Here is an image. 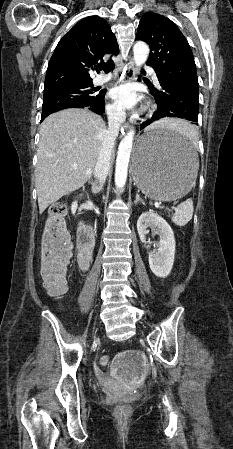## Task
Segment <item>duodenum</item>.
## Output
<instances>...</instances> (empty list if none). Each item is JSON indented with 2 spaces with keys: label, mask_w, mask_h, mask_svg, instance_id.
<instances>
[{
  "label": "duodenum",
  "mask_w": 233,
  "mask_h": 449,
  "mask_svg": "<svg viewBox=\"0 0 233 449\" xmlns=\"http://www.w3.org/2000/svg\"><path fill=\"white\" fill-rule=\"evenodd\" d=\"M95 239L93 232L87 225H82L78 230V262L83 271H87L93 255Z\"/></svg>",
  "instance_id": "duodenum-1"
}]
</instances>
